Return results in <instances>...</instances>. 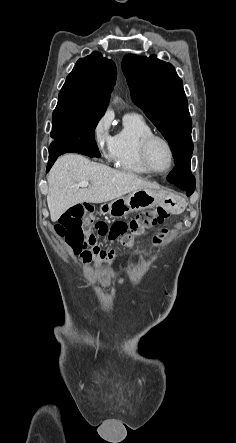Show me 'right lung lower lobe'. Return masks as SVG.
Masks as SVG:
<instances>
[{
  "label": "right lung lower lobe",
  "mask_w": 236,
  "mask_h": 443,
  "mask_svg": "<svg viewBox=\"0 0 236 443\" xmlns=\"http://www.w3.org/2000/svg\"><path fill=\"white\" fill-rule=\"evenodd\" d=\"M69 152L80 153L96 158L100 157V152L97 145L74 144V145L64 146V145L54 144L49 149V162L47 165V172L52 167V165L54 164L55 160L59 155Z\"/></svg>",
  "instance_id": "right-lung-lower-lobe-1"
}]
</instances>
